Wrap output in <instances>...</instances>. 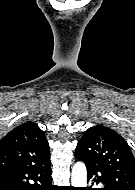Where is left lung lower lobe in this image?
<instances>
[{
    "label": "left lung lower lobe",
    "mask_w": 135,
    "mask_h": 190,
    "mask_svg": "<svg viewBox=\"0 0 135 190\" xmlns=\"http://www.w3.org/2000/svg\"><path fill=\"white\" fill-rule=\"evenodd\" d=\"M87 176L88 179H92L94 177V181L99 183L102 182L105 186L101 188V190H124L118 183L114 182L112 178L101 170L97 169L92 165H87ZM94 182H92L93 184ZM87 190H91V188H87Z\"/></svg>",
    "instance_id": "0a47b994"
}]
</instances>
